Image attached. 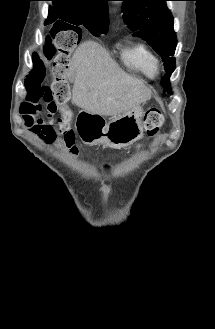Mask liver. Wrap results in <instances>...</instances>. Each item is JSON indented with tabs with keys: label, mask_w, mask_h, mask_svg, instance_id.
I'll list each match as a JSON object with an SVG mask.
<instances>
[{
	"label": "liver",
	"mask_w": 215,
	"mask_h": 329,
	"mask_svg": "<svg viewBox=\"0 0 215 329\" xmlns=\"http://www.w3.org/2000/svg\"><path fill=\"white\" fill-rule=\"evenodd\" d=\"M68 78L72 102L84 111L116 116L151 99V90L126 74L98 43L87 41L74 52Z\"/></svg>",
	"instance_id": "obj_1"
}]
</instances>
